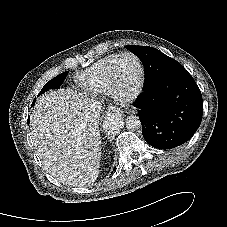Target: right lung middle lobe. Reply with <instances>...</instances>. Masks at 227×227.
Wrapping results in <instances>:
<instances>
[{
    "mask_svg": "<svg viewBox=\"0 0 227 227\" xmlns=\"http://www.w3.org/2000/svg\"><path fill=\"white\" fill-rule=\"evenodd\" d=\"M67 75V71L64 73H61L60 75L54 77L53 79H51L50 81H48L42 88V90L40 91V93L38 94V96L42 93H44L45 91L49 90V89H57L61 86L63 80L65 79ZM34 105V102L32 104V106ZM29 122V120H28Z\"/></svg>",
    "mask_w": 227,
    "mask_h": 227,
    "instance_id": "right-lung-middle-lobe-1",
    "label": "right lung middle lobe"
}]
</instances>
